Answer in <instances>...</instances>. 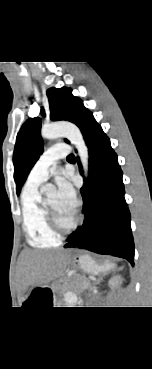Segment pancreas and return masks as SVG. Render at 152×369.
I'll list each match as a JSON object with an SVG mask.
<instances>
[{
  "mask_svg": "<svg viewBox=\"0 0 152 369\" xmlns=\"http://www.w3.org/2000/svg\"><path fill=\"white\" fill-rule=\"evenodd\" d=\"M90 287V282L84 278H79L75 288L79 291H84Z\"/></svg>",
  "mask_w": 152,
  "mask_h": 369,
  "instance_id": "pancreas-1",
  "label": "pancreas"
}]
</instances>
